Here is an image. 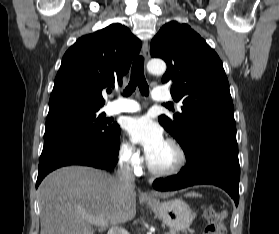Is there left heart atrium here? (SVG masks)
<instances>
[{
    "label": "left heart atrium",
    "mask_w": 279,
    "mask_h": 234,
    "mask_svg": "<svg viewBox=\"0 0 279 234\" xmlns=\"http://www.w3.org/2000/svg\"><path fill=\"white\" fill-rule=\"evenodd\" d=\"M126 132L132 141L144 148L147 159L165 144L162 128L148 116L129 119Z\"/></svg>",
    "instance_id": "1"
}]
</instances>
